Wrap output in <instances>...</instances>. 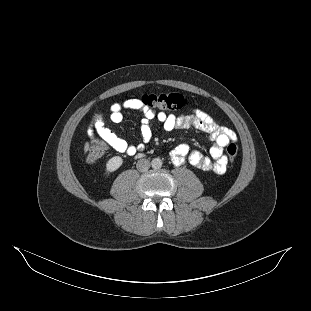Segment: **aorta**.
Masks as SVG:
<instances>
[{
  "mask_svg": "<svg viewBox=\"0 0 311 311\" xmlns=\"http://www.w3.org/2000/svg\"><path fill=\"white\" fill-rule=\"evenodd\" d=\"M151 165L154 169H159L162 166V160L160 158H154L151 161Z\"/></svg>",
  "mask_w": 311,
  "mask_h": 311,
  "instance_id": "obj_1",
  "label": "aorta"
}]
</instances>
